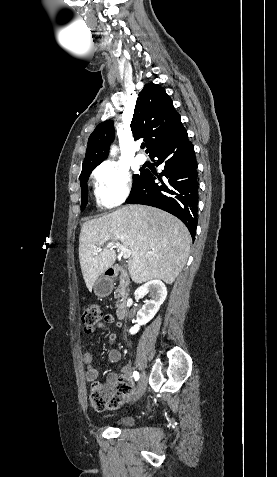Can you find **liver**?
<instances>
[{
	"label": "liver",
	"mask_w": 277,
	"mask_h": 477,
	"mask_svg": "<svg viewBox=\"0 0 277 477\" xmlns=\"http://www.w3.org/2000/svg\"><path fill=\"white\" fill-rule=\"evenodd\" d=\"M109 240L131 250L129 274L138 284L153 279L172 284L187 262L191 244L190 233L178 218L150 206L128 205L86 221L79 236V260L89 291L115 262V250L97 251Z\"/></svg>",
	"instance_id": "6515ba94"
}]
</instances>
